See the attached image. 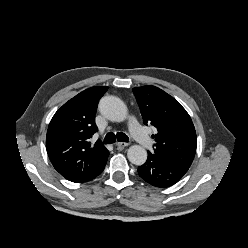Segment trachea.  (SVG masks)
<instances>
[{
	"mask_svg": "<svg viewBox=\"0 0 248 248\" xmlns=\"http://www.w3.org/2000/svg\"><path fill=\"white\" fill-rule=\"evenodd\" d=\"M129 142V138L126 134L119 132L116 135L112 132L108 133L104 138V144H112L114 142Z\"/></svg>",
	"mask_w": 248,
	"mask_h": 248,
	"instance_id": "1",
	"label": "trachea"
}]
</instances>
